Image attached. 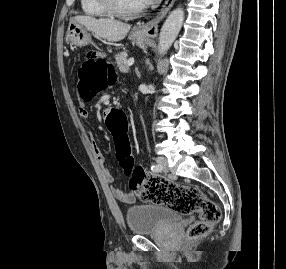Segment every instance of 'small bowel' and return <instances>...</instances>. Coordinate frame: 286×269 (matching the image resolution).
<instances>
[{"label": "small bowel", "instance_id": "c3829d8e", "mask_svg": "<svg viewBox=\"0 0 286 269\" xmlns=\"http://www.w3.org/2000/svg\"><path fill=\"white\" fill-rule=\"evenodd\" d=\"M79 116L82 119H87L89 116V112H88L86 104L84 102H80V104H79ZM106 116H110V109L109 108H104L103 111L100 112L99 120H106ZM90 143H91V147H92L95 159H96L97 163L99 164V166L102 168L105 179L109 183H112L113 179H114L113 175H112L111 171L104 166L103 154H102L100 148L98 147V144H97L93 135H90ZM112 193L117 200H119L120 202L125 203V204H132L136 200V197L133 193L125 191V190L120 189V188H112Z\"/></svg>", "mask_w": 286, "mask_h": 269}]
</instances>
